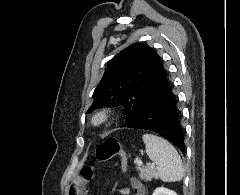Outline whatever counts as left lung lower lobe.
Wrapping results in <instances>:
<instances>
[{"instance_id": "obj_1", "label": "left lung lower lobe", "mask_w": 240, "mask_h": 195, "mask_svg": "<svg viewBox=\"0 0 240 195\" xmlns=\"http://www.w3.org/2000/svg\"><path fill=\"white\" fill-rule=\"evenodd\" d=\"M121 127L154 131L171 141L183 154L185 145L177 101L168 79L154 92L139 112Z\"/></svg>"}]
</instances>
